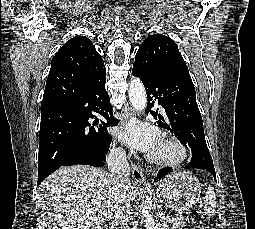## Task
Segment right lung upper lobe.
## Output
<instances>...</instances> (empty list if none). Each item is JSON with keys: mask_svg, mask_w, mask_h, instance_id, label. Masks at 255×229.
Masks as SVG:
<instances>
[{"mask_svg": "<svg viewBox=\"0 0 255 229\" xmlns=\"http://www.w3.org/2000/svg\"><path fill=\"white\" fill-rule=\"evenodd\" d=\"M104 68L102 57L89 39L83 36L70 39L51 61L41 110L72 101Z\"/></svg>", "mask_w": 255, "mask_h": 229, "instance_id": "obj_1", "label": "right lung upper lobe"}]
</instances>
